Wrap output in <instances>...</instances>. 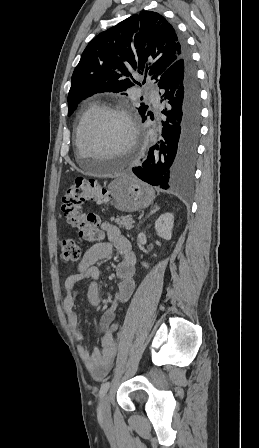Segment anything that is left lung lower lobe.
Instances as JSON below:
<instances>
[{
  "mask_svg": "<svg viewBox=\"0 0 259 448\" xmlns=\"http://www.w3.org/2000/svg\"><path fill=\"white\" fill-rule=\"evenodd\" d=\"M180 40L181 58L156 83L163 89L161 102H167L162 110L161 140L149 149L141 166L132 168L141 180L171 191L187 189L192 183L201 119L196 70L185 40Z\"/></svg>",
  "mask_w": 259,
  "mask_h": 448,
  "instance_id": "left-lung-lower-lobe-1",
  "label": "left lung lower lobe"
}]
</instances>
